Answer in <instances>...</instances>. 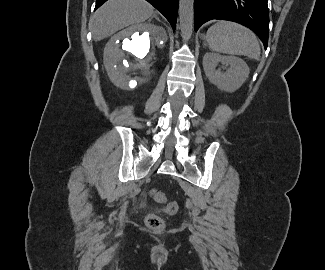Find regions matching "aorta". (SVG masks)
<instances>
[{
    "instance_id": "1",
    "label": "aorta",
    "mask_w": 325,
    "mask_h": 270,
    "mask_svg": "<svg viewBox=\"0 0 325 270\" xmlns=\"http://www.w3.org/2000/svg\"><path fill=\"white\" fill-rule=\"evenodd\" d=\"M194 0L179 1V21L181 35L184 39H190L193 31Z\"/></svg>"
}]
</instances>
